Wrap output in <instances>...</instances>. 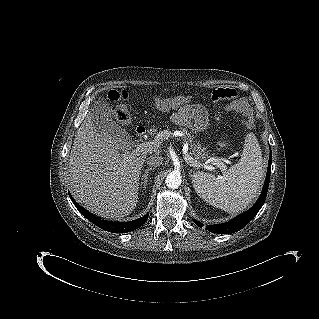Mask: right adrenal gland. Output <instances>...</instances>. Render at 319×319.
<instances>
[{"instance_id":"obj_1","label":"right adrenal gland","mask_w":319,"mask_h":319,"mask_svg":"<svg viewBox=\"0 0 319 319\" xmlns=\"http://www.w3.org/2000/svg\"><path fill=\"white\" fill-rule=\"evenodd\" d=\"M152 170H153V168H148L145 170L144 174L142 175L140 185L143 186V188H146V186L148 184V176H149L148 173Z\"/></svg>"}]
</instances>
